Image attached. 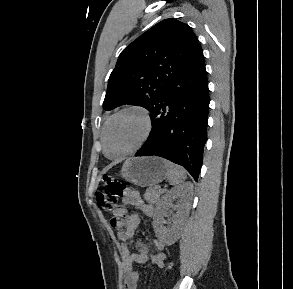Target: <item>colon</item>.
Returning <instances> with one entry per match:
<instances>
[{
  "instance_id": "1",
  "label": "colon",
  "mask_w": 293,
  "mask_h": 289,
  "mask_svg": "<svg viewBox=\"0 0 293 289\" xmlns=\"http://www.w3.org/2000/svg\"><path fill=\"white\" fill-rule=\"evenodd\" d=\"M104 188L98 195V203L107 212H113L119 196L124 192L125 187L122 183L115 180L112 177L104 178ZM123 221L117 218L111 219V225L113 228L117 229L122 226ZM172 266V262L169 263L168 267Z\"/></svg>"
}]
</instances>
